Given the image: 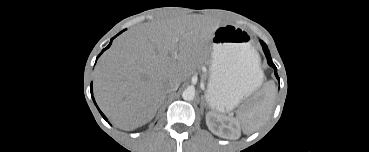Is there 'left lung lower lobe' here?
<instances>
[{
    "label": "left lung lower lobe",
    "mask_w": 369,
    "mask_h": 152,
    "mask_svg": "<svg viewBox=\"0 0 369 152\" xmlns=\"http://www.w3.org/2000/svg\"><path fill=\"white\" fill-rule=\"evenodd\" d=\"M261 44H262V46H263V50H264V53H265V55H266V58H267L268 64L274 68V70H275V75H276L277 79L279 80V77H278V75H277V68H276V66H275V65L273 64V62H272V59H271V56H270L269 50H268V48H267L266 44H265L263 41H261Z\"/></svg>",
    "instance_id": "obj_1"
}]
</instances>
